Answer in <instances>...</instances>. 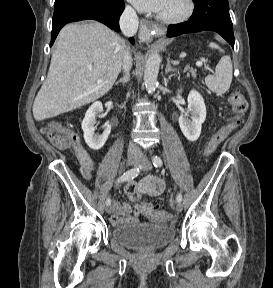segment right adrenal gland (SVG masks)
Segmentation results:
<instances>
[{
  "label": "right adrenal gland",
  "mask_w": 273,
  "mask_h": 288,
  "mask_svg": "<svg viewBox=\"0 0 273 288\" xmlns=\"http://www.w3.org/2000/svg\"><path fill=\"white\" fill-rule=\"evenodd\" d=\"M128 81H129V73H127L123 78L119 79V81H117L115 85H117L118 83H122L123 85H125Z\"/></svg>",
  "instance_id": "obj_1"
}]
</instances>
